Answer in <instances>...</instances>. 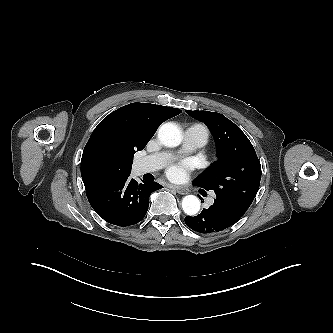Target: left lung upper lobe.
Returning <instances> with one entry per match:
<instances>
[{
    "mask_svg": "<svg viewBox=\"0 0 333 333\" xmlns=\"http://www.w3.org/2000/svg\"><path fill=\"white\" fill-rule=\"evenodd\" d=\"M186 112L208 126L216 143L218 157L193 183L249 207L261 180L260 161L251 142L236 124L220 113Z\"/></svg>",
    "mask_w": 333,
    "mask_h": 333,
    "instance_id": "5c2ea615",
    "label": "left lung upper lobe"
}]
</instances>
